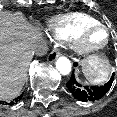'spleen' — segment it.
<instances>
[{
	"instance_id": "spleen-1",
	"label": "spleen",
	"mask_w": 117,
	"mask_h": 117,
	"mask_svg": "<svg viewBox=\"0 0 117 117\" xmlns=\"http://www.w3.org/2000/svg\"><path fill=\"white\" fill-rule=\"evenodd\" d=\"M85 77L94 84H101L107 81L110 74V64L106 59L99 56H89L82 63Z\"/></svg>"
}]
</instances>
